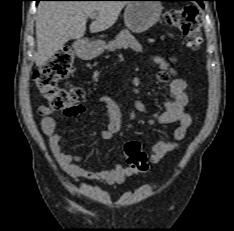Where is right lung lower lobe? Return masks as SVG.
<instances>
[{"label":"right lung lower lobe","mask_w":234,"mask_h":231,"mask_svg":"<svg viewBox=\"0 0 234 231\" xmlns=\"http://www.w3.org/2000/svg\"><path fill=\"white\" fill-rule=\"evenodd\" d=\"M35 1H37V2H38V1H45V0H35ZM49 1H52V0H49ZM53 1H54V0H53Z\"/></svg>","instance_id":"obj_1"}]
</instances>
